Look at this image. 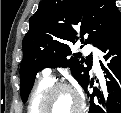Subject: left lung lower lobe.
I'll list each match as a JSON object with an SVG mask.
<instances>
[{"label":"left lung lower lobe","instance_id":"left-lung-lower-lobe-1","mask_svg":"<svg viewBox=\"0 0 121 113\" xmlns=\"http://www.w3.org/2000/svg\"><path fill=\"white\" fill-rule=\"evenodd\" d=\"M99 49L105 53L104 60L108 61L106 67L100 61L107 78V90L103 94L97 87L92 88L94 80L89 79L84 87L88 95L92 88L89 113H121V17Z\"/></svg>","mask_w":121,"mask_h":113}]
</instances>
